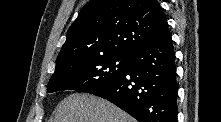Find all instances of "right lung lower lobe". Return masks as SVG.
I'll list each match as a JSON object with an SVG mask.
<instances>
[{
  "mask_svg": "<svg viewBox=\"0 0 221 122\" xmlns=\"http://www.w3.org/2000/svg\"><path fill=\"white\" fill-rule=\"evenodd\" d=\"M175 53L168 26L135 52L126 70L91 92L109 100L139 122H176Z\"/></svg>",
  "mask_w": 221,
  "mask_h": 122,
  "instance_id": "1",
  "label": "right lung lower lobe"
}]
</instances>
